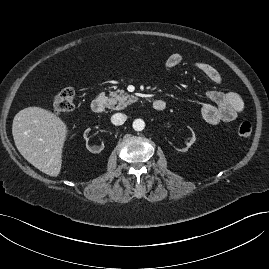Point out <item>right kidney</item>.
<instances>
[{
    "label": "right kidney",
    "mask_w": 269,
    "mask_h": 269,
    "mask_svg": "<svg viewBox=\"0 0 269 269\" xmlns=\"http://www.w3.org/2000/svg\"><path fill=\"white\" fill-rule=\"evenodd\" d=\"M92 133V130L91 129H87L84 133V137H85V146L86 148L90 151V152H101L102 149H103V145H104V142L103 141H100L99 142V145L101 146L99 148L98 145H95L93 143V140L91 139V136L90 134Z\"/></svg>",
    "instance_id": "obj_1"
}]
</instances>
